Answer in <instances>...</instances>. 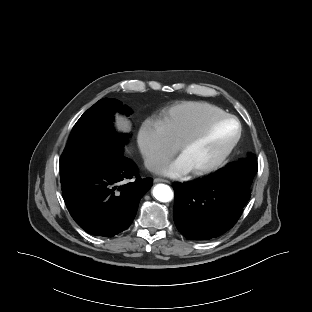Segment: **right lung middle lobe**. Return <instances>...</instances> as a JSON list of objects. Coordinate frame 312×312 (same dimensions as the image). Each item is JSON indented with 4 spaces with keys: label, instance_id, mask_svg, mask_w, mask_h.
Returning a JSON list of instances; mask_svg holds the SVG:
<instances>
[{
    "label": "right lung middle lobe",
    "instance_id": "right-lung-middle-lobe-1",
    "mask_svg": "<svg viewBox=\"0 0 312 312\" xmlns=\"http://www.w3.org/2000/svg\"><path fill=\"white\" fill-rule=\"evenodd\" d=\"M115 112L131 114V110L120 101L104 98L76 122L60 158L61 185L115 160L123 153L124 142L129 135L114 131Z\"/></svg>",
    "mask_w": 312,
    "mask_h": 312
}]
</instances>
